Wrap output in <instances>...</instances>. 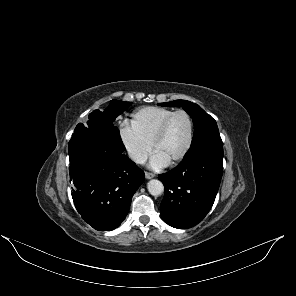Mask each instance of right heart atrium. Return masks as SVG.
<instances>
[{"mask_svg":"<svg viewBox=\"0 0 296 296\" xmlns=\"http://www.w3.org/2000/svg\"><path fill=\"white\" fill-rule=\"evenodd\" d=\"M120 136L130 159L137 164H142L148 157L151 145L141 139L129 126L121 127Z\"/></svg>","mask_w":296,"mask_h":296,"instance_id":"right-heart-atrium-1","label":"right heart atrium"}]
</instances>
